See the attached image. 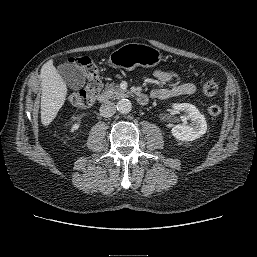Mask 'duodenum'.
I'll list each match as a JSON object with an SVG mask.
<instances>
[{
    "instance_id": "obj_1",
    "label": "duodenum",
    "mask_w": 257,
    "mask_h": 257,
    "mask_svg": "<svg viewBox=\"0 0 257 257\" xmlns=\"http://www.w3.org/2000/svg\"><path fill=\"white\" fill-rule=\"evenodd\" d=\"M135 98L140 105H146L148 103V96L144 93H141V92L136 93ZM107 99L108 98L106 94H101L99 96V101L101 103H105Z\"/></svg>"
}]
</instances>
